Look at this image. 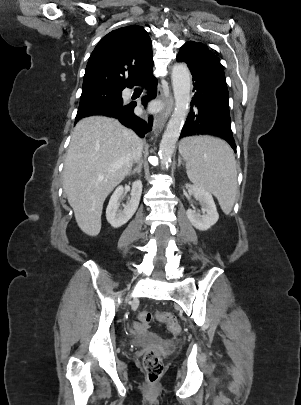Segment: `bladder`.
I'll return each instance as SVG.
<instances>
[{
  "label": "bladder",
  "instance_id": "bladder-1",
  "mask_svg": "<svg viewBox=\"0 0 301 405\" xmlns=\"http://www.w3.org/2000/svg\"><path fill=\"white\" fill-rule=\"evenodd\" d=\"M130 343L134 346H146L159 343V339L149 333H138L132 337Z\"/></svg>",
  "mask_w": 301,
  "mask_h": 405
}]
</instances>
